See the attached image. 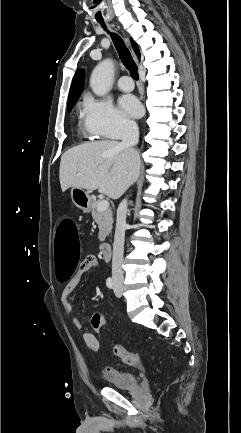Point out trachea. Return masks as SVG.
<instances>
[{
    "mask_svg": "<svg viewBox=\"0 0 241 433\" xmlns=\"http://www.w3.org/2000/svg\"><path fill=\"white\" fill-rule=\"evenodd\" d=\"M95 8H98V5H95ZM102 8L103 5H100V8L94 12V18L96 19V22H98V24H101V26L106 30L107 29L106 25L102 19L103 18ZM110 35L123 65L129 70L132 78L138 80L139 74H138L137 65L135 64L130 54V51L126 47L124 41L116 33H111Z\"/></svg>",
    "mask_w": 241,
    "mask_h": 433,
    "instance_id": "obj_1",
    "label": "trachea"
}]
</instances>
